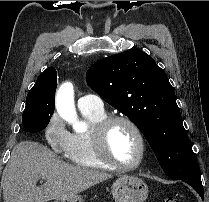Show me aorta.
Listing matches in <instances>:
<instances>
[{"instance_id": "1", "label": "aorta", "mask_w": 209, "mask_h": 202, "mask_svg": "<svg viewBox=\"0 0 209 202\" xmlns=\"http://www.w3.org/2000/svg\"><path fill=\"white\" fill-rule=\"evenodd\" d=\"M56 107L59 115L77 132L85 131L87 125L77 118L74 107V88L69 82L64 83L57 92Z\"/></svg>"}]
</instances>
